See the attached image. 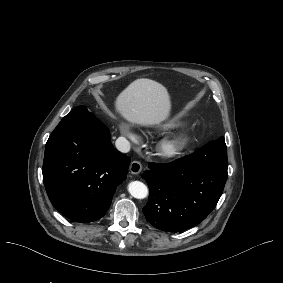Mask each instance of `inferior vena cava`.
Here are the masks:
<instances>
[{
	"mask_svg": "<svg viewBox=\"0 0 283 283\" xmlns=\"http://www.w3.org/2000/svg\"><path fill=\"white\" fill-rule=\"evenodd\" d=\"M115 146L120 152L127 153L130 151V144L123 137H119L116 139Z\"/></svg>",
	"mask_w": 283,
	"mask_h": 283,
	"instance_id": "602c4592",
	"label": "inferior vena cava"
}]
</instances>
